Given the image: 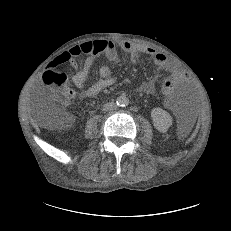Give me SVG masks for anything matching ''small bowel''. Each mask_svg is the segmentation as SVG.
Returning <instances> with one entry per match:
<instances>
[{"label": "small bowel", "mask_w": 231, "mask_h": 231, "mask_svg": "<svg viewBox=\"0 0 231 231\" xmlns=\"http://www.w3.org/2000/svg\"><path fill=\"white\" fill-rule=\"evenodd\" d=\"M117 46L124 52L139 56L141 54L149 55L153 58L154 63L160 68L171 73L173 80L177 86H182L187 82V75L184 70L169 61L167 56L151 47H143L132 44L128 41H122ZM66 60L60 63L62 56ZM80 55H86L83 64L79 67L76 58ZM98 55H104L109 61L113 62L117 59V49L115 44L109 40H97L85 42L80 45L70 48L68 51L56 57L50 64L49 68H55L63 63H68L71 67L78 69L72 77L73 84L82 89L87 80L90 68L93 64L94 58ZM100 78L92 85L81 92L83 98H91L105 89L111 87L115 83V79L111 76V70L107 65H103L99 69ZM154 90V82H149L144 86V91L150 93ZM174 92V91H173ZM173 92L169 95L165 94L164 104L171 108L174 102Z\"/></svg>", "instance_id": "small-bowel-1"}]
</instances>
